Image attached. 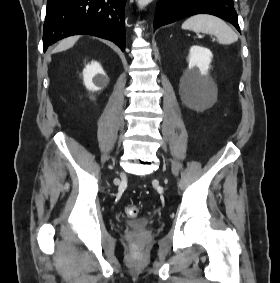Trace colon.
<instances>
[{
	"instance_id": "5ec220e1",
	"label": "colon",
	"mask_w": 280,
	"mask_h": 283,
	"mask_svg": "<svg viewBox=\"0 0 280 283\" xmlns=\"http://www.w3.org/2000/svg\"><path fill=\"white\" fill-rule=\"evenodd\" d=\"M138 208L135 206L127 207L125 213L128 217L134 218L138 215Z\"/></svg>"
}]
</instances>
